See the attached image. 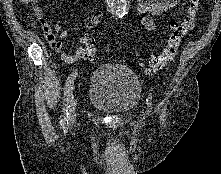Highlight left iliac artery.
Wrapping results in <instances>:
<instances>
[{"mask_svg": "<svg viewBox=\"0 0 221 174\" xmlns=\"http://www.w3.org/2000/svg\"><path fill=\"white\" fill-rule=\"evenodd\" d=\"M166 116V114H165V112H163V117H165Z\"/></svg>", "mask_w": 221, "mask_h": 174, "instance_id": "44dca946", "label": "left iliac artery"}]
</instances>
